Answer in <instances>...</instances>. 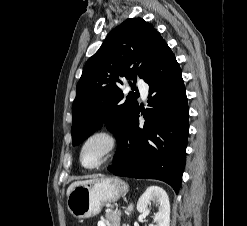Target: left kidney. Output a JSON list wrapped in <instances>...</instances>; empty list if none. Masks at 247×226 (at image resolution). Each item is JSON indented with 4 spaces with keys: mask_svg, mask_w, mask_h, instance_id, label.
<instances>
[{
    "mask_svg": "<svg viewBox=\"0 0 247 226\" xmlns=\"http://www.w3.org/2000/svg\"><path fill=\"white\" fill-rule=\"evenodd\" d=\"M151 201L159 204V210L153 218L155 226H170V203L166 191L158 186L147 188L137 202L138 212L148 213Z\"/></svg>",
    "mask_w": 247,
    "mask_h": 226,
    "instance_id": "5707ae66",
    "label": "left kidney"
}]
</instances>
